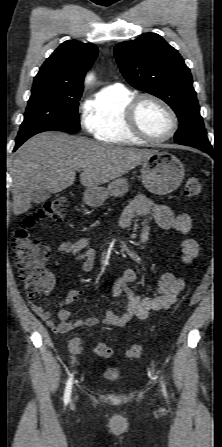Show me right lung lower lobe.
<instances>
[{"label": "right lung lower lobe", "instance_id": "obj_1", "mask_svg": "<svg viewBox=\"0 0 222 447\" xmlns=\"http://www.w3.org/2000/svg\"><path fill=\"white\" fill-rule=\"evenodd\" d=\"M18 147H19V146H18V145H16V146H15V150H16V149H17Z\"/></svg>", "mask_w": 222, "mask_h": 447}]
</instances>
